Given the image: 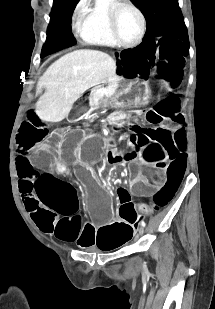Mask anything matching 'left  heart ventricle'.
Returning <instances> with one entry per match:
<instances>
[{"instance_id": "left-heart-ventricle-1", "label": "left heart ventricle", "mask_w": 215, "mask_h": 309, "mask_svg": "<svg viewBox=\"0 0 215 309\" xmlns=\"http://www.w3.org/2000/svg\"><path fill=\"white\" fill-rule=\"evenodd\" d=\"M115 13H119V20H116V22H120V29H117L119 41H131L136 34L135 16L125 9L118 10Z\"/></svg>"}]
</instances>
